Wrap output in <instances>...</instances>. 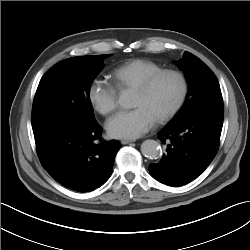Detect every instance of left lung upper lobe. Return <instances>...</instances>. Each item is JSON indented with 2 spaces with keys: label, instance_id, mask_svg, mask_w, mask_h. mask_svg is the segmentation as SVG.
<instances>
[{
  "label": "left lung upper lobe",
  "instance_id": "1",
  "mask_svg": "<svg viewBox=\"0 0 250 250\" xmlns=\"http://www.w3.org/2000/svg\"><path fill=\"white\" fill-rule=\"evenodd\" d=\"M177 64L186 74L189 91L184 105L170 123L184 120L210 107L223 105L219 82L204 62L184 52Z\"/></svg>",
  "mask_w": 250,
  "mask_h": 250
}]
</instances>
